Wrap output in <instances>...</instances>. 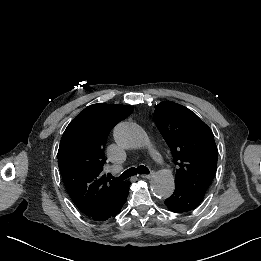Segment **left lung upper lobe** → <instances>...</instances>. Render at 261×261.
<instances>
[{"label":"left lung upper lobe","mask_w":261,"mask_h":261,"mask_svg":"<svg viewBox=\"0 0 261 261\" xmlns=\"http://www.w3.org/2000/svg\"><path fill=\"white\" fill-rule=\"evenodd\" d=\"M155 108V123L179 166L175 184L205 195L217 166L218 150L211 129L180 104L163 101Z\"/></svg>","instance_id":"left-lung-upper-lobe-1"}]
</instances>
